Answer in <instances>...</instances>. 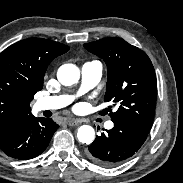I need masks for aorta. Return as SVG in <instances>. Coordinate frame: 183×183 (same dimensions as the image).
Wrapping results in <instances>:
<instances>
[{
  "instance_id": "1",
  "label": "aorta",
  "mask_w": 183,
  "mask_h": 183,
  "mask_svg": "<svg viewBox=\"0 0 183 183\" xmlns=\"http://www.w3.org/2000/svg\"><path fill=\"white\" fill-rule=\"evenodd\" d=\"M57 78L62 85L71 86L79 81L80 70L74 64H64L58 69ZM77 138L81 143H92L95 139L93 127L89 125L80 126L77 130Z\"/></svg>"
}]
</instances>
